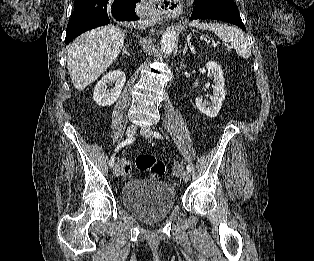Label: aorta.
Instances as JSON below:
<instances>
[{
	"label": "aorta",
	"mask_w": 314,
	"mask_h": 261,
	"mask_svg": "<svg viewBox=\"0 0 314 261\" xmlns=\"http://www.w3.org/2000/svg\"><path fill=\"white\" fill-rule=\"evenodd\" d=\"M176 31L172 28H167L161 39V49L165 55H170L175 47Z\"/></svg>",
	"instance_id": "762f6f07"
}]
</instances>
